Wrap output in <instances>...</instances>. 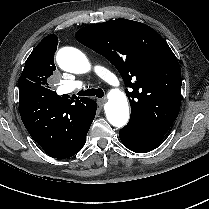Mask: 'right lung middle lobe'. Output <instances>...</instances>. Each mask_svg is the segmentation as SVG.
I'll use <instances>...</instances> for the list:
<instances>
[{
    "label": "right lung middle lobe",
    "mask_w": 209,
    "mask_h": 209,
    "mask_svg": "<svg viewBox=\"0 0 209 209\" xmlns=\"http://www.w3.org/2000/svg\"><path fill=\"white\" fill-rule=\"evenodd\" d=\"M55 48L42 46L35 48L25 62V67L18 81L19 90L34 89L38 94L46 97L55 96L50 90L49 80L53 71Z\"/></svg>",
    "instance_id": "dd1d6c3e"
}]
</instances>
